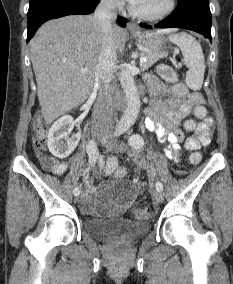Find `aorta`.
<instances>
[{"mask_svg": "<svg viewBox=\"0 0 233 284\" xmlns=\"http://www.w3.org/2000/svg\"><path fill=\"white\" fill-rule=\"evenodd\" d=\"M120 83L126 97L127 106L118 123V127L121 129H129L137 120L141 102L133 76L129 70L125 69L121 71Z\"/></svg>", "mask_w": 233, "mask_h": 284, "instance_id": "762f6f07", "label": "aorta"}]
</instances>
